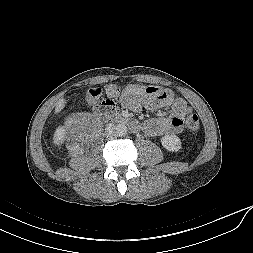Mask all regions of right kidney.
Masks as SVG:
<instances>
[{"instance_id": "ca27d5eb", "label": "right kidney", "mask_w": 253, "mask_h": 253, "mask_svg": "<svg viewBox=\"0 0 253 253\" xmlns=\"http://www.w3.org/2000/svg\"><path fill=\"white\" fill-rule=\"evenodd\" d=\"M53 140L55 145H61L65 140V129L62 127L58 128L54 134Z\"/></svg>"}]
</instances>
